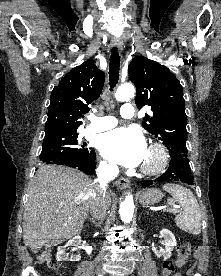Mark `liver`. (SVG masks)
Here are the masks:
<instances>
[{
	"label": "liver",
	"mask_w": 221,
	"mask_h": 276,
	"mask_svg": "<svg viewBox=\"0 0 221 276\" xmlns=\"http://www.w3.org/2000/svg\"><path fill=\"white\" fill-rule=\"evenodd\" d=\"M96 183L77 169L45 165L31 181L23 216V240L33 253L70 239L83 228ZM107 205L111 193H106Z\"/></svg>",
	"instance_id": "6515ba94"
}]
</instances>
